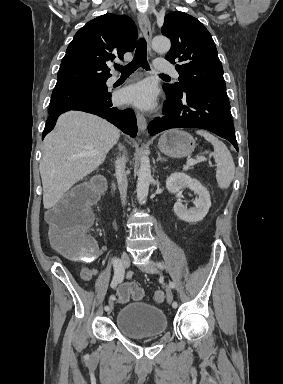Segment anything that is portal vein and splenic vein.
Returning <instances> with one entry per match:
<instances>
[{
  "label": "portal vein and splenic vein",
  "instance_id": "portal-vein-and-splenic-vein-1",
  "mask_svg": "<svg viewBox=\"0 0 283 384\" xmlns=\"http://www.w3.org/2000/svg\"><path fill=\"white\" fill-rule=\"evenodd\" d=\"M198 162H206V158H202V156H200L197 160H187L186 164L187 166H194V164H198Z\"/></svg>",
  "mask_w": 283,
  "mask_h": 384
}]
</instances>
